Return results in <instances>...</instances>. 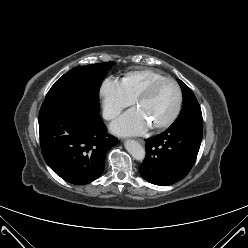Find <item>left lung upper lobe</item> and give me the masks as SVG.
<instances>
[{"instance_id": "left-lung-upper-lobe-1", "label": "left lung upper lobe", "mask_w": 248, "mask_h": 248, "mask_svg": "<svg viewBox=\"0 0 248 248\" xmlns=\"http://www.w3.org/2000/svg\"><path fill=\"white\" fill-rule=\"evenodd\" d=\"M183 92V109L175 122L171 126L184 125L190 123H202V112L199 103L192 90L181 80H179Z\"/></svg>"}]
</instances>
